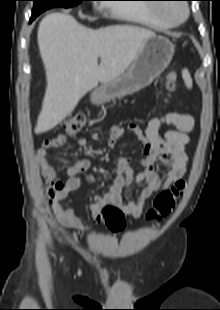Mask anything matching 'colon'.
I'll return each instance as SVG.
<instances>
[{"instance_id":"5ec220e1","label":"colon","mask_w":220,"mask_h":310,"mask_svg":"<svg viewBox=\"0 0 220 310\" xmlns=\"http://www.w3.org/2000/svg\"><path fill=\"white\" fill-rule=\"evenodd\" d=\"M179 81L178 73L175 70H168L165 74V85L168 90L173 91ZM86 124V118L81 113L68 116L63 121V128L69 135H76ZM64 187V183L57 178L48 177L46 180V192L53 198ZM185 182L178 180L170 188L162 190L155 197L153 206L147 211L146 218L150 222H159L170 216L177 201L182 196ZM102 215L106 225L113 231L119 232L125 226L124 213L115 205H106L102 209Z\"/></svg>"}]
</instances>
